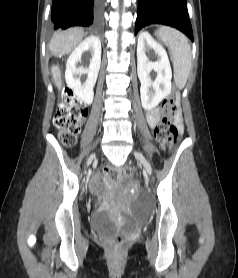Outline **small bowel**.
<instances>
[{"mask_svg":"<svg viewBox=\"0 0 238 278\" xmlns=\"http://www.w3.org/2000/svg\"><path fill=\"white\" fill-rule=\"evenodd\" d=\"M159 111L158 109H152L147 112V120L150 126L154 127L157 125L159 120Z\"/></svg>","mask_w":238,"mask_h":278,"instance_id":"1","label":"small bowel"}]
</instances>
